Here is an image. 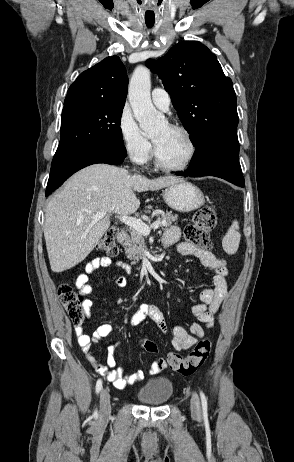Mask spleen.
<instances>
[{
    "label": "spleen",
    "mask_w": 294,
    "mask_h": 462,
    "mask_svg": "<svg viewBox=\"0 0 294 462\" xmlns=\"http://www.w3.org/2000/svg\"><path fill=\"white\" fill-rule=\"evenodd\" d=\"M239 224L234 221L222 240V246L227 254H235L240 243Z\"/></svg>",
    "instance_id": "obj_1"
}]
</instances>
